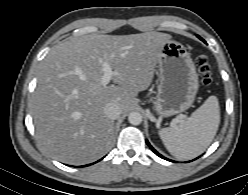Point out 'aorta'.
I'll return each instance as SVG.
<instances>
[{
    "label": "aorta",
    "mask_w": 248,
    "mask_h": 195,
    "mask_svg": "<svg viewBox=\"0 0 248 195\" xmlns=\"http://www.w3.org/2000/svg\"><path fill=\"white\" fill-rule=\"evenodd\" d=\"M128 121L132 125H139L142 122V115L139 112H131L128 116Z\"/></svg>",
    "instance_id": "obj_1"
}]
</instances>
